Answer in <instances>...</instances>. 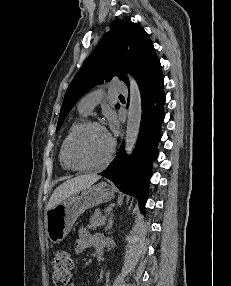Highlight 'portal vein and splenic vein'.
I'll return each mask as SVG.
<instances>
[{
  "mask_svg": "<svg viewBox=\"0 0 231 286\" xmlns=\"http://www.w3.org/2000/svg\"><path fill=\"white\" fill-rule=\"evenodd\" d=\"M111 210H112V208H111V207H108V208H106V209L104 210V212L107 213V212H110Z\"/></svg>",
  "mask_w": 231,
  "mask_h": 286,
  "instance_id": "18ae733b",
  "label": "portal vein and splenic vein"
}]
</instances>
